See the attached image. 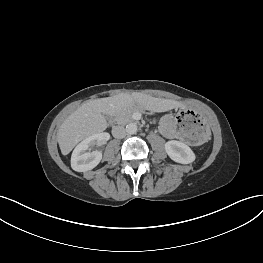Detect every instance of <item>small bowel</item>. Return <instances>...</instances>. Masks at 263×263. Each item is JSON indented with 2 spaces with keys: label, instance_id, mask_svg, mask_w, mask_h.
<instances>
[{
  "label": "small bowel",
  "instance_id": "obj_1",
  "mask_svg": "<svg viewBox=\"0 0 263 263\" xmlns=\"http://www.w3.org/2000/svg\"><path fill=\"white\" fill-rule=\"evenodd\" d=\"M159 128L161 133L169 139L175 138L178 136L175 128L174 121L170 115H165L161 118L159 122Z\"/></svg>",
  "mask_w": 263,
  "mask_h": 263
}]
</instances>
